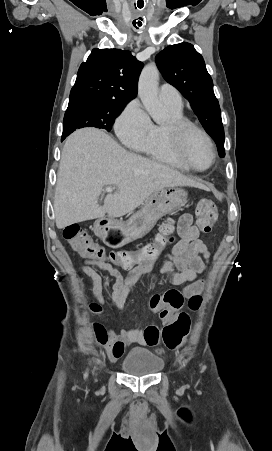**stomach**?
I'll use <instances>...</instances> for the list:
<instances>
[{
	"mask_svg": "<svg viewBox=\"0 0 272 451\" xmlns=\"http://www.w3.org/2000/svg\"><path fill=\"white\" fill-rule=\"evenodd\" d=\"M187 202V192L182 188H165L157 190L147 198L141 210L133 214L127 222H114L113 226L106 227L103 233V241L108 247H122L129 241L146 235L157 220L180 210Z\"/></svg>",
	"mask_w": 272,
	"mask_h": 451,
	"instance_id": "0dacf381",
	"label": "stomach"
}]
</instances>
